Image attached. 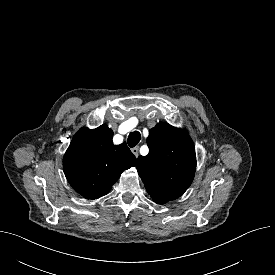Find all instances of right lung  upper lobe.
<instances>
[{
	"mask_svg": "<svg viewBox=\"0 0 275 275\" xmlns=\"http://www.w3.org/2000/svg\"><path fill=\"white\" fill-rule=\"evenodd\" d=\"M113 131L105 124L80 129L63 158L65 176L76 192L86 199L107 194L121 173L136 165L126 143L114 145Z\"/></svg>",
	"mask_w": 275,
	"mask_h": 275,
	"instance_id": "cb5924a9",
	"label": "right lung upper lobe"
}]
</instances>
